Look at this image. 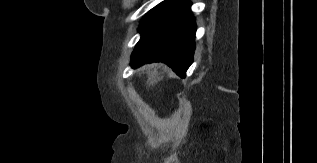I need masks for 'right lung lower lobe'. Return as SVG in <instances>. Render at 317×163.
I'll return each instance as SVG.
<instances>
[{
  "instance_id": "98d812e1",
  "label": "right lung lower lobe",
  "mask_w": 317,
  "mask_h": 163,
  "mask_svg": "<svg viewBox=\"0 0 317 163\" xmlns=\"http://www.w3.org/2000/svg\"><path fill=\"white\" fill-rule=\"evenodd\" d=\"M189 0L178 1L168 12L142 32L131 57L133 68L163 62L184 78L193 62L196 25Z\"/></svg>"
}]
</instances>
